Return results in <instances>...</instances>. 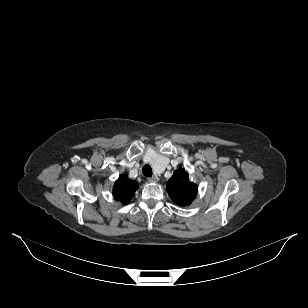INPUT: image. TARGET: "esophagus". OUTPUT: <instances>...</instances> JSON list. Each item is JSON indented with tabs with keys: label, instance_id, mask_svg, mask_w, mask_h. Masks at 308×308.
I'll return each mask as SVG.
<instances>
[{
	"label": "esophagus",
	"instance_id": "obj_1",
	"mask_svg": "<svg viewBox=\"0 0 308 308\" xmlns=\"http://www.w3.org/2000/svg\"><path fill=\"white\" fill-rule=\"evenodd\" d=\"M148 181H149L150 183H156V182H158V178H157L156 176H152V177H149V178H148Z\"/></svg>",
	"mask_w": 308,
	"mask_h": 308
}]
</instances>
